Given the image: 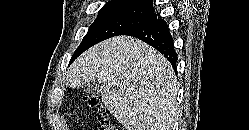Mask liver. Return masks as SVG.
Segmentation results:
<instances>
[{"label":"liver","instance_id":"liver-1","mask_svg":"<svg viewBox=\"0 0 249 130\" xmlns=\"http://www.w3.org/2000/svg\"><path fill=\"white\" fill-rule=\"evenodd\" d=\"M98 81L102 102L125 130H172L177 81L169 61L146 43L118 36L85 51L70 66L66 84Z\"/></svg>","mask_w":249,"mask_h":130}]
</instances>
